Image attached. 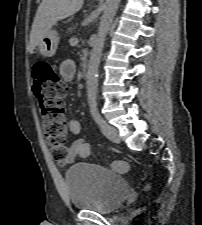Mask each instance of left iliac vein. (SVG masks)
<instances>
[{
	"label": "left iliac vein",
	"instance_id": "obj_1",
	"mask_svg": "<svg viewBox=\"0 0 202 225\" xmlns=\"http://www.w3.org/2000/svg\"><path fill=\"white\" fill-rule=\"evenodd\" d=\"M101 131L112 142L120 143L119 132L115 127L105 124L101 126Z\"/></svg>",
	"mask_w": 202,
	"mask_h": 225
}]
</instances>
